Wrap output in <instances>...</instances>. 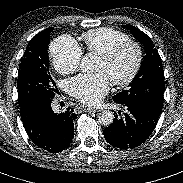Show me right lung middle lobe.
Here are the masks:
<instances>
[{"label":"right lung middle lobe","instance_id":"obj_1","mask_svg":"<svg viewBox=\"0 0 183 183\" xmlns=\"http://www.w3.org/2000/svg\"><path fill=\"white\" fill-rule=\"evenodd\" d=\"M51 31L52 28H47L35 35L21 58L17 79L20 107L31 98H53L58 92L49 72V58L46 51Z\"/></svg>","mask_w":183,"mask_h":183}]
</instances>
